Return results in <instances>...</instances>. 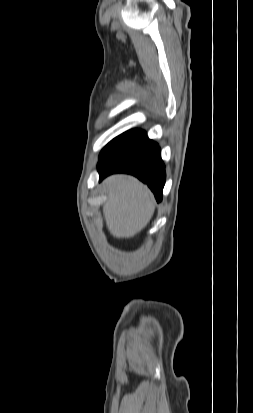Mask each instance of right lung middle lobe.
Returning a JSON list of instances; mask_svg holds the SVG:
<instances>
[{"instance_id":"dd1d6c3e","label":"right lung middle lobe","mask_w":253,"mask_h":413,"mask_svg":"<svg viewBox=\"0 0 253 413\" xmlns=\"http://www.w3.org/2000/svg\"><path fill=\"white\" fill-rule=\"evenodd\" d=\"M146 136V133L142 130H130L114 138L101 151L98 165L106 161L115 153L125 149Z\"/></svg>"}]
</instances>
